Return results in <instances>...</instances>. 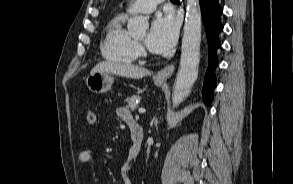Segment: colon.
Here are the masks:
<instances>
[{
    "instance_id": "colon-1",
    "label": "colon",
    "mask_w": 293,
    "mask_h": 184,
    "mask_svg": "<svg viewBox=\"0 0 293 184\" xmlns=\"http://www.w3.org/2000/svg\"><path fill=\"white\" fill-rule=\"evenodd\" d=\"M86 120L89 124H93L96 121V113L93 109H88L86 112Z\"/></svg>"
}]
</instances>
